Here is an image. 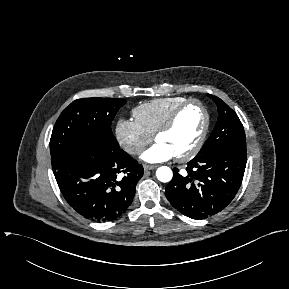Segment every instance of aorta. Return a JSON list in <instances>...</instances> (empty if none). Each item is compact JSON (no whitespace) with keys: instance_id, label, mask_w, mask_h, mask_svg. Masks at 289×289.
<instances>
[{"instance_id":"1","label":"aorta","mask_w":289,"mask_h":289,"mask_svg":"<svg viewBox=\"0 0 289 289\" xmlns=\"http://www.w3.org/2000/svg\"><path fill=\"white\" fill-rule=\"evenodd\" d=\"M156 177L160 182H170L173 177L172 170L167 166H161L156 171Z\"/></svg>"}]
</instances>
